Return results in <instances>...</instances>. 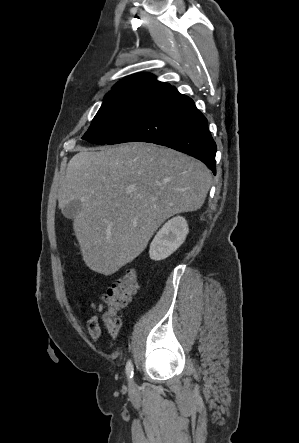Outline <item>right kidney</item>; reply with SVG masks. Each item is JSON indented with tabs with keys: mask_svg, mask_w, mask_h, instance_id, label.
Returning <instances> with one entry per match:
<instances>
[{
	"mask_svg": "<svg viewBox=\"0 0 299 443\" xmlns=\"http://www.w3.org/2000/svg\"><path fill=\"white\" fill-rule=\"evenodd\" d=\"M188 232L185 218L177 216L168 220L150 244V258L159 261L169 257L183 244Z\"/></svg>",
	"mask_w": 299,
	"mask_h": 443,
	"instance_id": "ca27d5eb",
	"label": "right kidney"
}]
</instances>
